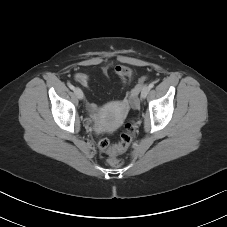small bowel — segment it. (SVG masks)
<instances>
[{
    "mask_svg": "<svg viewBox=\"0 0 227 227\" xmlns=\"http://www.w3.org/2000/svg\"><path fill=\"white\" fill-rule=\"evenodd\" d=\"M114 71L116 75L122 80L124 85L129 84L133 79L134 72L128 66L117 65L115 66ZM103 73L107 74V68L103 69ZM74 79L76 82L80 83L83 86H88L90 82L89 77L84 73L75 74ZM91 107L94 108V105L91 104Z\"/></svg>",
    "mask_w": 227,
    "mask_h": 227,
    "instance_id": "obj_1",
    "label": "small bowel"
}]
</instances>
